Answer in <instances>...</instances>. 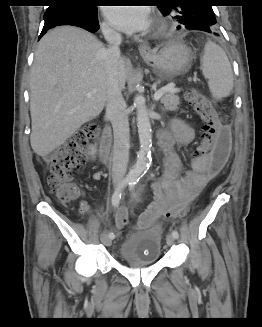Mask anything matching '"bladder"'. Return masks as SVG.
<instances>
[{"label":"bladder","instance_id":"obj_1","mask_svg":"<svg viewBox=\"0 0 262 327\" xmlns=\"http://www.w3.org/2000/svg\"><path fill=\"white\" fill-rule=\"evenodd\" d=\"M162 240L163 234L157 230L134 231L120 245L119 258L127 264L157 263L161 259Z\"/></svg>","mask_w":262,"mask_h":327}]
</instances>
